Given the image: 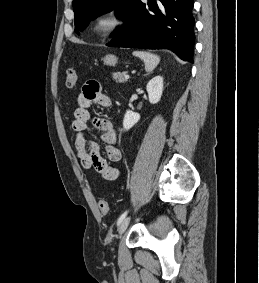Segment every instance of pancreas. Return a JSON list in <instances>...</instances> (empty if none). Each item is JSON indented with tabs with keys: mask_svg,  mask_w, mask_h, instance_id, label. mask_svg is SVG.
<instances>
[{
	"mask_svg": "<svg viewBox=\"0 0 259 283\" xmlns=\"http://www.w3.org/2000/svg\"><path fill=\"white\" fill-rule=\"evenodd\" d=\"M125 75H126L125 72H122V73L116 72V73H113V79L118 83H124L126 82Z\"/></svg>",
	"mask_w": 259,
	"mask_h": 283,
	"instance_id": "obj_1",
	"label": "pancreas"
}]
</instances>
